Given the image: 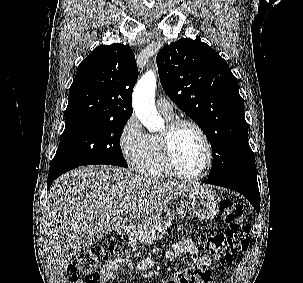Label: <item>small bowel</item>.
Segmentation results:
<instances>
[{
	"mask_svg": "<svg viewBox=\"0 0 303 283\" xmlns=\"http://www.w3.org/2000/svg\"><path fill=\"white\" fill-rule=\"evenodd\" d=\"M185 255H187L194 264L202 270L212 266L211 258L208 255L201 254L196 243L190 237H183L165 253V257L169 260H176ZM152 264V260H145L137 265V270L146 271L152 266ZM120 266H125L129 270L134 268L132 262L128 259L119 257L110 259L100 268L99 282L107 283L115 280L116 276L114 271L118 270ZM200 283H213L210 271L204 270V274L200 278Z\"/></svg>",
	"mask_w": 303,
	"mask_h": 283,
	"instance_id": "small-bowel-1",
	"label": "small bowel"
}]
</instances>
